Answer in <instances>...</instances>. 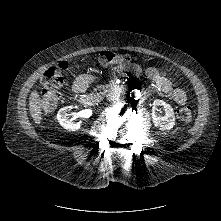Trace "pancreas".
<instances>
[{
	"mask_svg": "<svg viewBox=\"0 0 221 221\" xmlns=\"http://www.w3.org/2000/svg\"><path fill=\"white\" fill-rule=\"evenodd\" d=\"M102 88L104 89V92H107L110 90V88H112V85L108 84V85L102 86ZM92 95H93V97L97 96L96 94H92Z\"/></svg>",
	"mask_w": 221,
	"mask_h": 221,
	"instance_id": "obj_1",
	"label": "pancreas"
}]
</instances>
